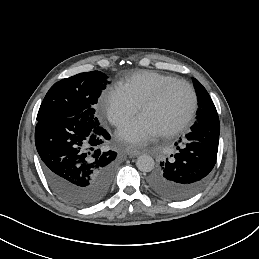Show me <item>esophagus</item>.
<instances>
[{
    "instance_id": "34e87169",
    "label": "esophagus",
    "mask_w": 259,
    "mask_h": 259,
    "mask_svg": "<svg viewBox=\"0 0 259 259\" xmlns=\"http://www.w3.org/2000/svg\"><path fill=\"white\" fill-rule=\"evenodd\" d=\"M126 153L129 156H138L140 154V151L136 150V149H134L132 147H126Z\"/></svg>"
}]
</instances>
